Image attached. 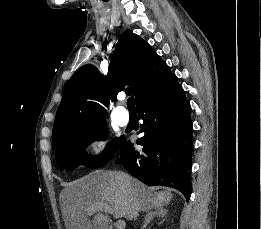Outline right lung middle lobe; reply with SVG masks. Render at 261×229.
<instances>
[{
    "label": "right lung middle lobe",
    "instance_id": "obj_1",
    "mask_svg": "<svg viewBox=\"0 0 261 229\" xmlns=\"http://www.w3.org/2000/svg\"><path fill=\"white\" fill-rule=\"evenodd\" d=\"M66 138L56 148L55 156L62 170H73L79 165L91 169L104 166L124 144V138L112 140L99 156L89 157L84 148L94 140H105L108 136L106 122L68 127L64 129Z\"/></svg>",
    "mask_w": 261,
    "mask_h": 229
}]
</instances>
